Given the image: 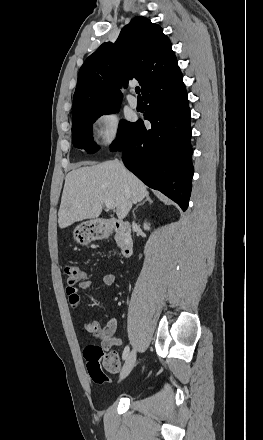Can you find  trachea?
<instances>
[{
    "label": "trachea",
    "instance_id": "trachea-1",
    "mask_svg": "<svg viewBox=\"0 0 263 440\" xmlns=\"http://www.w3.org/2000/svg\"><path fill=\"white\" fill-rule=\"evenodd\" d=\"M135 91H136V93L138 94V96H140V88H139V87H136V88H135Z\"/></svg>",
    "mask_w": 263,
    "mask_h": 440
}]
</instances>
